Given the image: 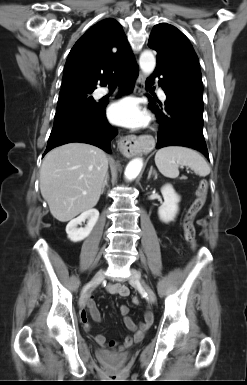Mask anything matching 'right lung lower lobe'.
<instances>
[{"label":"right lung lower lobe","instance_id":"obj_1","mask_svg":"<svg viewBox=\"0 0 247 385\" xmlns=\"http://www.w3.org/2000/svg\"><path fill=\"white\" fill-rule=\"evenodd\" d=\"M138 72L134 64L119 76L122 92L132 91ZM105 107L106 104L97 103L92 107L75 108L56 115L44 155L54 147L71 142L92 144L111 153L110 143L117 135V130L108 124Z\"/></svg>","mask_w":247,"mask_h":385}]
</instances>
